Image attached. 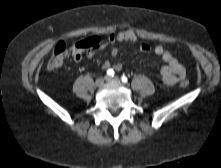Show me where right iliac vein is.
<instances>
[{"label": "right iliac vein", "mask_w": 221, "mask_h": 168, "mask_svg": "<svg viewBox=\"0 0 221 168\" xmlns=\"http://www.w3.org/2000/svg\"><path fill=\"white\" fill-rule=\"evenodd\" d=\"M104 80H105V78H102V77L97 78L96 81H95V85L97 87H101L104 84Z\"/></svg>", "instance_id": "1"}]
</instances>
